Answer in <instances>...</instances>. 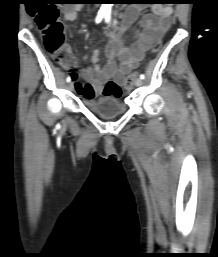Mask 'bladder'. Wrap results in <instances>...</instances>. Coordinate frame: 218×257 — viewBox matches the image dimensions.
Masks as SVG:
<instances>
[{
    "label": "bladder",
    "mask_w": 218,
    "mask_h": 257,
    "mask_svg": "<svg viewBox=\"0 0 218 257\" xmlns=\"http://www.w3.org/2000/svg\"><path fill=\"white\" fill-rule=\"evenodd\" d=\"M84 104L92 112L106 118L121 115L126 111L125 104L114 96L85 99Z\"/></svg>",
    "instance_id": "31cf9c89"
}]
</instances>
